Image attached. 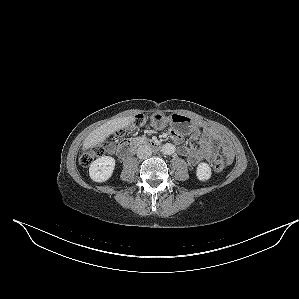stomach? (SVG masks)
<instances>
[{
  "mask_svg": "<svg viewBox=\"0 0 299 299\" xmlns=\"http://www.w3.org/2000/svg\"><path fill=\"white\" fill-rule=\"evenodd\" d=\"M192 120L184 115L174 114L171 117L165 116L161 112H155L151 115V124L157 129H164L168 124L173 125L182 133H189L192 127Z\"/></svg>",
  "mask_w": 299,
  "mask_h": 299,
  "instance_id": "obj_1",
  "label": "stomach"
}]
</instances>
